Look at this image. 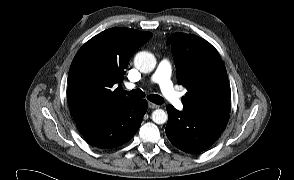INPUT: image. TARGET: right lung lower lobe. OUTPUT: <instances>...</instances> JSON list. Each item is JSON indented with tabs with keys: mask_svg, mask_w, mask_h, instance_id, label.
<instances>
[{
	"mask_svg": "<svg viewBox=\"0 0 294 180\" xmlns=\"http://www.w3.org/2000/svg\"><path fill=\"white\" fill-rule=\"evenodd\" d=\"M146 100L129 99L107 112L77 121L83 137L98 148H114L138 131L147 110Z\"/></svg>",
	"mask_w": 294,
	"mask_h": 180,
	"instance_id": "98d812e1",
	"label": "right lung lower lobe"
}]
</instances>
